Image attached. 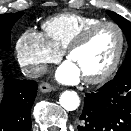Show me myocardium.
Segmentation results:
<instances>
[{"mask_svg":"<svg viewBox=\"0 0 131 131\" xmlns=\"http://www.w3.org/2000/svg\"><path fill=\"white\" fill-rule=\"evenodd\" d=\"M105 26H110L116 29L119 35V46L117 53L115 55V58L113 59L112 63L109 65L107 69H105L103 72H101L98 75L91 76V77H82L84 82L88 84H99L104 81H106L108 78H110L115 71L118 69L123 54L125 50V44H126V39H125V33L123 29L121 28L120 25L113 21H100L95 24H92L85 28L82 32H80L74 39L73 41L67 46L65 49V57L68 60L69 57L72 55L73 52L84 46L90 37L100 28L105 27Z\"/></svg>","mask_w":131,"mask_h":131,"instance_id":"1","label":"myocardium"}]
</instances>
